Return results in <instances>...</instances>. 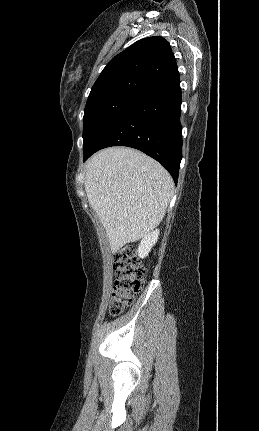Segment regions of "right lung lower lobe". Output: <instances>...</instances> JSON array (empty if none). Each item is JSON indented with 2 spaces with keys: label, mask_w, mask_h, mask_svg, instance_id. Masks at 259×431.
I'll return each mask as SVG.
<instances>
[{
  "label": "right lung lower lobe",
  "mask_w": 259,
  "mask_h": 431,
  "mask_svg": "<svg viewBox=\"0 0 259 431\" xmlns=\"http://www.w3.org/2000/svg\"><path fill=\"white\" fill-rule=\"evenodd\" d=\"M181 101L179 77L151 88L102 132L84 161L100 149L128 146L161 163L177 184L182 159Z\"/></svg>",
  "instance_id": "98d812e1"
}]
</instances>
